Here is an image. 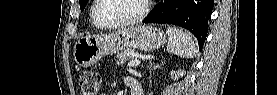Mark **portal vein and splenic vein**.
Instances as JSON below:
<instances>
[{
    "label": "portal vein and splenic vein",
    "instance_id": "portal-vein-and-splenic-vein-1",
    "mask_svg": "<svg viewBox=\"0 0 277 95\" xmlns=\"http://www.w3.org/2000/svg\"><path fill=\"white\" fill-rule=\"evenodd\" d=\"M141 63L139 59L132 60L131 62L128 63L129 67H135L138 66Z\"/></svg>",
    "mask_w": 277,
    "mask_h": 95
}]
</instances>
